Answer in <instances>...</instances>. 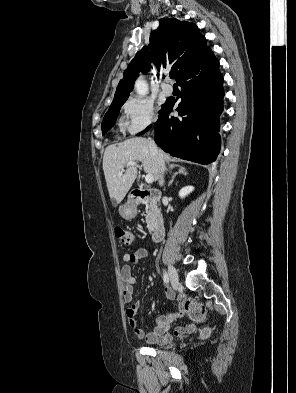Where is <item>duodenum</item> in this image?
<instances>
[{"label":"duodenum","mask_w":296,"mask_h":393,"mask_svg":"<svg viewBox=\"0 0 296 393\" xmlns=\"http://www.w3.org/2000/svg\"><path fill=\"white\" fill-rule=\"evenodd\" d=\"M161 193L156 189H136L132 195V201L152 200L159 201ZM166 225L164 218L157 214L155 216L154 225L152 229V239L155 242H160L165 238Z\"/></svg>","instance_id":"1"}]
</instances>
